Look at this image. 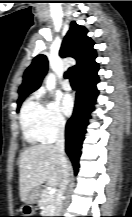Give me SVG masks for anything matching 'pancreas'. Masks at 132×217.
I'll use <instances>...</instances> for the list:
<instances>
[{
	"label": "pancreas",
	"instance_id": "1",
	"mask_svg": "<svg viewBox=\"0 0 132 217\" xmlns=\"http://www.w3.org/2000/svg\"><path fill=\"white\" fill-rule=\"evenodd\" d=\"M38 204L43 216H52L57 206L56 195H50L49 190L46 188L42 190Z\"/></svg>",
	"mask_w": 132,
	"mask_h": 217
}]
</instances>
